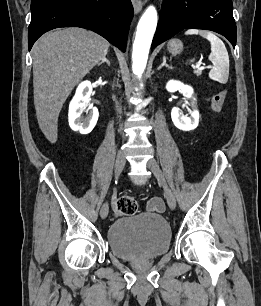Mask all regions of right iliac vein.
<instances>
[{
    "instance_id": "63e3f726",
    "label": "right iliac vein",
    "mask_w": 261,
    "mask_h": 306,
    "mask_svg": "<svg viewBox=\"0 0 261 306\" xmlns=\"http://www.w3.org/2000/svg\"><path fill=\"white\" fill-rule=\"evenodd\" d=\"M124 166H125V156L122 151H119L116 156V161H115V178L116 179L121 174ZM108 212H109V205L106 202L102 205L101 210H100L101 218L105 219L108 215Z\"/></svg>"
}]
</instances>
